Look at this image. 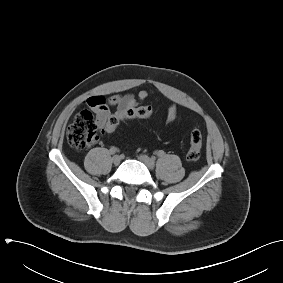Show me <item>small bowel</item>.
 I'll use <instances>...</instances> for the list:
<instances>
[{
    "mask_svg": "<svg viewBox=\"0 0 283 283\" xmlns=\"http://www.w3.org/2000/svg\"><path fill=\"white\" fill-rule=\"evenodd\" d=\"M147 97L148 92L146 90H141L136 96L131 93L124 95L117 94L108 98L101 95H95L89 97L85 103L94 112L97 127L102 129L111 116V107H115L116 112H121L128 108L138 106V104L144 101ZM176 120L177 108L173 104L168 108L166 122L167 124H173Z\"/></svg>",
    "mask_w": 283,
    "mask_h": 283,
    "instance_id": "c3829d8e",
    "label": "small bowel"
}]
</instances>
